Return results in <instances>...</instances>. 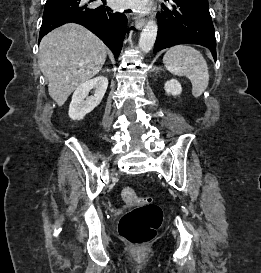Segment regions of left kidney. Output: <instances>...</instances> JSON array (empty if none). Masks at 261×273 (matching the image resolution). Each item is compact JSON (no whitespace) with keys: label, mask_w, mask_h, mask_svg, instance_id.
Segmentation results:
<instances>
[{"label":"left kidney","mask_w":261,"mask_h":273,"mask_svg":"<svg viewBox=\"0 0 261 273\" xmlns=\"http://www.w3.org/2000/svg\"><path fill=\"white\" fill-rule=\"evenodd\" d=\"M164 88L167 94H172L174 96L179 95L182 92V87L180 83L175 79L167 81Z\"/></svg>","instance_id":"1"}]
</instances>
